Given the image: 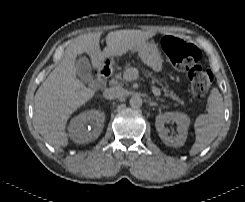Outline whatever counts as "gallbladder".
Wrapping results in <instances>:
<instances>
[{"label":"gallbladder","instance_id":"gallbladder-1","mask_svg":"<svg viewBox=\"0 0 245 202\" xmlns=\"http://www.w3.org/2000/svg\"><path fill=\"white\" fill-rule=\"evenodd\" d=\"M75 66H76L77 75L84 82H88L92 79V66L87 57H79Z\"/></svg>","mask_w":245,"mask_h":202}]
</instances>
